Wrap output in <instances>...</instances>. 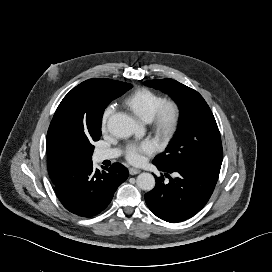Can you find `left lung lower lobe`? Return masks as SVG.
<instances>
[{
	"label": "left lung lower lobe",
	"mask_w": 272,
	"mask_h": 272,
	"mask_svg": "<svg viewBox=\"0 0 272 272\" xmlns=\"http://www.w3.org/2000/svg\"><path fill=\"white\" fill-rule=\"evenodd\" d=\"M159 170L175 173L176 178L155 177L156 185L145 194L149 209L160 219L171 223L185 221L198 213L208 202L217 183L221 165L203 163L164 167Z\"/></svg>",
	"instance_id": "obj_1"
}]
</instances>
